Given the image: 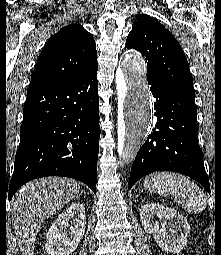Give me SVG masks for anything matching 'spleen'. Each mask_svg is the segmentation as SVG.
Returning <instances> with one entry per match:
<instances>
[{"label": "spleen", "instance_id": "1", "mask_svg": "<svg viewBox=\"0 0 221 255\" xmlns=\"http://www.w3.org/2000/svg\"><path fill=\"white\" fill-rule=\"evenodd\" d=\"M144 188L160 196H173L176 202L193 214L202 212L207 206L205 194L187 177L171 172H160L148 175Z\"/></svg>", "mask_w": 221, "mask_h": 255}]
</instances>
